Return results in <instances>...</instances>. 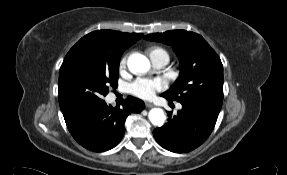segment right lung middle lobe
<instances>
[{
    "label": "right lung middle lobe",
    "mask_w": 287,
    "mask_h": 175,
    "mask_svg": "<svg viewBox=\"0 0 287 175\" xmlns=\"http://www.w3.org/2000/svg\"><path fill=\"white\" fill-rule=\"evenodd\" d=\"M122 52L98 53L90 40H80L67 53L59 70L61 110L95 104L116 87Z\"/></svg>",
    "instance_id": "dd1d6c3e"
}]
</instances>
